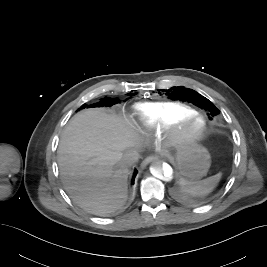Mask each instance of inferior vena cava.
<instances>
[{
    "mask_svg": "<svg viewBox=\"0 0 267 267\" xmlns=\"http://www.w3.org/2000/svg\"><path fill=\"white\" fill-rule=\"evenodd\" d=\"M138 158H139L138 152L132 150L124 154L123 161L125 165H127L128 167H131L138 161Z\"/></svg>",
    "mask_w": 267,
    "mask_h": 267,
    "instance_id": "obj_1",
    "label": "inferior vena cava"
}]
</instances>
